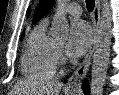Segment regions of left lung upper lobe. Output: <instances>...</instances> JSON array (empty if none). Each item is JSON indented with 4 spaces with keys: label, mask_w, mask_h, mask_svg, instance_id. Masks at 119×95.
<instances>
[{
    "label": "left lung upper lobe",
    "mask_w": 119,
    "mask_h": 95,
    "mask_svg": "<svg viewBox=\"0 0 119 95\" xmlns=\"http://www.w3.org/2000/svg\"><path fill=\"white\" fill-rule=\"evenodd\" d=\"M54 0H41L40 4L37 7L35 18L33 23H36L44 15H46L53 5Z\"/></svg>",
    "instance_id": "obj_1"
}]
</instances>
